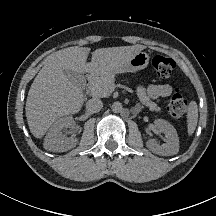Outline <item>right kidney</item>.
<instances>
[{
	"label": "right kidney",
	"mask_w": 216,
	"mask_h": 216,
	"mask_svg": "<svg viewBox=\"0 0 216 216\" xmlns=\"http://www.w3.org/2000/svg\"><path fill=\"white\" fill-rule=\"evenodd\" d=\"M74 125V119L71 116L62 117L57 120L49 129L45 139L44 148L53 152H64L74 148L78 139L76 138H66L62 134L64 128H70Z\"/></svg>",
	"instance_id": "obj_1"
}]
</instances>
